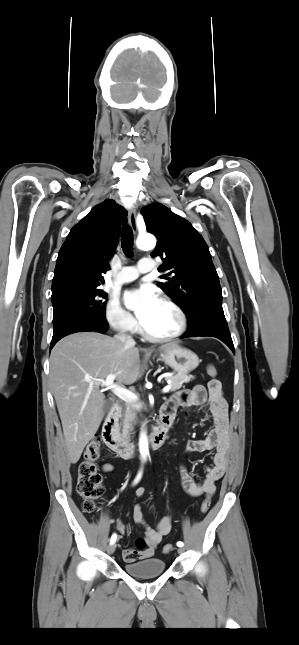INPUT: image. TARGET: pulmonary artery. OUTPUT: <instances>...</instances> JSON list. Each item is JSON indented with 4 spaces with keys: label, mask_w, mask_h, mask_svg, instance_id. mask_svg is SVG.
Here are the masks:
<instances>
[{
    "label": "pulmonary artery",
    "mask_w": 299,
    "mask_h": 645,
    "mask_svg": "<svg viewBox=\"0 0 299 645\" xmlns=\"http://www.w3.org/2000/svg\"><path fill=\"white\" fill-rule=\"evenodd\" d=\"M155 269V263L149 258H143L139 261L137 266L123 267L116 276V281L119 283H128L134 281L142 273L151 272Z\"/></svg>",
    "instance_id": "pulmonary-artery-1"
}]
</instances>
